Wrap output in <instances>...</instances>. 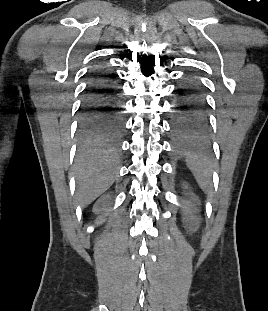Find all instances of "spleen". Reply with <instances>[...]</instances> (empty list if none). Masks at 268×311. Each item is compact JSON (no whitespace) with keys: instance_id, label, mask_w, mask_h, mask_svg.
<instances>
[{"instance_id":"obj_1","label":"spleen","mask_w":268,"mask_h":311,"mask_svg":"<svg viewBox=\"0 0 268 311\" xmlns=\"http://www.w3.org/2000/svg\"><path fill=\"white\" fill-rule=\"evenodd\" d=\"M186 163L201 189L208 192L211 188L212 172L209 161L200 155H190L188 156Z\"/></svg>"}]
</instances>
